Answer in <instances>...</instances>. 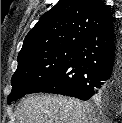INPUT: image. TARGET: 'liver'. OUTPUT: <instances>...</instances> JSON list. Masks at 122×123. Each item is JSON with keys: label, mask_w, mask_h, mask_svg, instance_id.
I'll return each instance as SVG.
<instances>
[{"label": "liver", "mask_w": 122, "mask_h": 123, "mask_svg": "<svg viewBox=\"0 0 122 123\" xmlns=\"http://www.w3.org/2000/svg\"><path fill=\"white\" fill-rule=\"evenodd\" d=\"M17 123H101L103 114L91 103L57 95H31L16 110Z\"/></svg>", "instance_id": "obj_1"}]
</instances>
